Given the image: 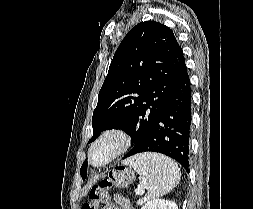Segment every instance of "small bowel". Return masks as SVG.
Returning <instances> with one entry per match:
<instances>
[{
  "label": "small bowel",
  "instance_id": "obj_1",
  "mask_svg": "<svg viewBox=\"0 0 253 209\" xmlns=\"http://www.w3.org/2000/svg\"><path fill=\"white\" fill-rule=\"evenodd\" d=\"M115 201L116 206L112 205L110 207H106L105 209H132L130 202L121 196H116Z\"/></svg>",
  "mask_w": 253,
  "mask_h": 209
}]
</instances>
